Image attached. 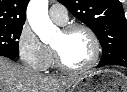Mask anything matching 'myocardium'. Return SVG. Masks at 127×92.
<instances>
[{
  "label": "myocardium",
  "mask_w": 127,
  "mask_h": 92,
  "mask_svg": "<svg viewBox=\"0 0 127 92\" xmlns=\"http://www.w3.org/2000/svg\"><path fill=\"white\" fill-rule=\"evenodd\" d=\"M76 30L85 31L89 35L92 45H93L92 57L86 65L80 68H73V67L68 66L64 62L59 50L56 47L52 46V51H53L56 66L61 71L66 72V73H72V74L84 73L90 70L97 64V62L100 59V55H101V44H100L99 38L91 27H89L86 24H82V23H71L62 28V32L64 34H69Z\"/></svg>",
  "instance_id": "obj_1"
}]
</instances>
